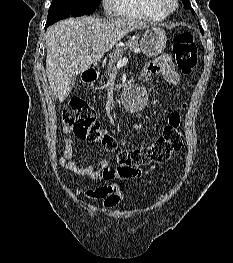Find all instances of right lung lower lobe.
<instances>
[{
	"label": "right lung lower lobe",
	"mask_w": 233,
	"mask_h": 263,
	"mask_svg": "<svg viewBox=\"0 0 233 263\" xmlns=\"http://www.w3.org/2000/svg\"><path fill=\"white\" fill-rule=\"evenodd\" d=\"M51 24H53V23L47 21V23H46V28H47L49 25H51Z\"/></svg>",
	"instance_id": "right-lung-lower-lobe-1"
}]
</instances>
